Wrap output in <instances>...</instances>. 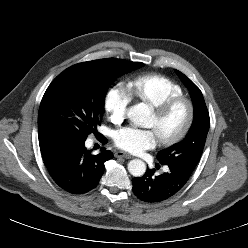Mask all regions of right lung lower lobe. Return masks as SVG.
<instances>
[{
  "label": "right lung lower lobe",
  "instance_id": "98d812e1",
  "mask_svg": "<svg viewBox=\"0 0 248 248\" xmlns=\"http://www.w3.org/2000/svg\"><path fill=\"white\" fill-rule=\"evenodd\" d=\"M102 140H107L102 137ZM85 141L52 137L40 144L43 161L56 184L71 194H84L94 189L103 174L104 163L113 158L102 150L91 154Z\"/></svg>",
  "mask_w": 248,
  "mask_h": 248
}]
</instances>
